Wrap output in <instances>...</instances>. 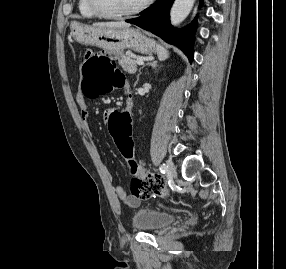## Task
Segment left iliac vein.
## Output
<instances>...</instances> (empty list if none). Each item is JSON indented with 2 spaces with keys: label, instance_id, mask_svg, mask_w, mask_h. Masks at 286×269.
Here are the masks:
<instances>
[{
  "label": "left iliac vein",
  "instance_id": "left-iliac-vein-1",
  "mask_svg": "<svg viewBox=\"0 0 286 269\" xmlns=\"http://www.w3.org/2000/svg\"><path fill=\"white\" fill-rule=\"evenodd\" d=\"M167 170L171 178L177 177V172L174 163L171 160L166 161Z\"/></svg>",
  "mask_w": 286,
  "mask_h": 269
}]
</instances>
